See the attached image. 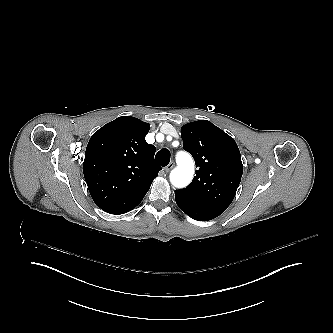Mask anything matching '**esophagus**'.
<instances>
[{
	"mask_svg": "<svg viewBox=\"0 0 333 333\" xmlns=\"http://www.w3.org/2000/svg\"><path fill=\"white\" fill-rule=\"evenodd\" d=\"M175 166V163L172 161L168 164V166L165 168V172L168 173L173 167Z\"/></svg>",
	"mask_w": 333,
	"mask_h": 333,
	"instance_id": "1",
	"label": "esophagus"
}]
</instances>
